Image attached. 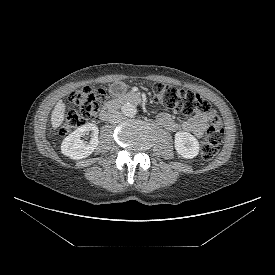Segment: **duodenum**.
<instances>
[{"mask_svg": "<svg viewBox=\"0 0 275 275\" xmlns=\"http://www.w3.org/2000/svg\"><path fill=\"white\" fill-rule=\"evenodd\" d=\"M141 102V97L137 93H126L111 101H109L101 110L99 118L102 121H106L110 118L116 110L123 104H139Z\"/></svg>", "mask_w": 275, "mask_h": 275, "instance_id": "duodenum-1", "label": "duodenum"}]
</instances>
